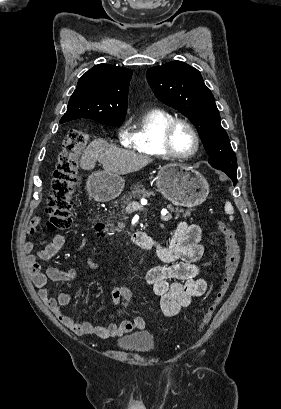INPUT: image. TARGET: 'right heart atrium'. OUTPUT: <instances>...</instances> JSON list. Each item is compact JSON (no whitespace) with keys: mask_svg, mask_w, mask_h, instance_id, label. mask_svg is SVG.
<instances>
[{"mask_svg":"<svg viewBox=\"0 0 281 409\" xmlns=\"http://www.w3.org/2000/svg\"><path fill=\"white\" fill-rule=\"evenodd\" d=\"M130 133L127 131L125 125H121L117 130V137L119 141L123 144H127L129 140Z\"/></svg>","mask_w":281,"mask_h":409,"instance_id":"d8ad5b80","label":"right heart atrium"}]
</instances>
